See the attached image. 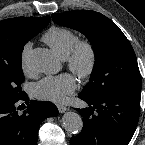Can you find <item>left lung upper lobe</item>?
Instances as JSON below:
<instances>
[{
    "label": "left lung upper lobe",
    "instance_id": "left-lung-upper-lobe-1",
    "mask_svg": "<svg viewBox=\"0 0 145 145\" xmlns=\"http://www.w3.org/2000/svg\"><path fill=\"white\" fill-rule=\"evenodd\" d=\"M55 23L83 33L92 44L95 64L89 82L81 91L91 97L141 90V75L134 50L118 26L90 10L52 14Z\"/></svg>",
    "mask_w": 145,
    "mask_h": 145
}]
</instances>
